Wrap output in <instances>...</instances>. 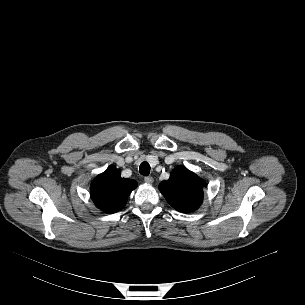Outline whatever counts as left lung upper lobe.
<instances>
[{
  "instance_id": "obj_1",
  "label": "left lung upper lobe",
  "mask_w": 305,
  "mask_h": 305,
  "mask_svg": "<svg viewBox=\"0 0 305 305\" xmlns=\"http://www.w3.org/2000/svg\"><path fill=\"white\" fill-rule=\"evenodd\" d=\"M205 183L185 166L172 170L170 178L159 184L168 203L176 210L189 213L199 208L203 200Z\"/></svg>"
}]
</instances>
